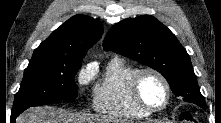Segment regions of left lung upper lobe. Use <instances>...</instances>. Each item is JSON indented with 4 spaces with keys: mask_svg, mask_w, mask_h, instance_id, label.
Listing matches in <instances>:
<instances>
[{
    "mask_svg": "<svg viewBox=\"0 0 221 123\" xmlns=\"http://www.w3.org/2000/svg\"><path fill=\"white\" fill-rule=\"evenodd\" d=\"M103 47L157 70L176 96L205 108L186 49L153 16L142 15L115 24L107 33Z\"/></svg>",
    "mask_w": 221,
    "mask_h": 123,
    "instance_id": "obj_1",
    "label": "left lung upper lobe"
}]
</instances>
